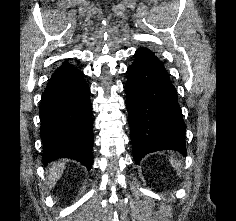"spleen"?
<instances>
[{
    "instance_id": "1",
    "label": "spleen",
    "mask_w": 236,
    "mask_h": 221,
    "mask_svg": "<svg viewBox=\"0 0 236 221\" xmlns=\"http://www.w3.org/2000/svg\"><path fill=\"white\" fill-rule=\"evenodd\" d=\"M172 166L177 170L179 176H181V164L176 162L173 158H170Z\"/></svg>"
}]
</instances>
